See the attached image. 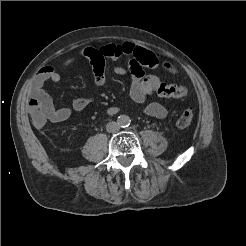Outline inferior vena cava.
Here are the masks:
<instances>
[{
	"mask_svg": "<svg viewBox=\"0 0 246 246\" xmlns=\"http://www.w3.org/2000/svg\"><path fill=\"white\" fill-rule=\"evenodd\" d=\"M119 129H120V126L116 122H109L106 125V130L107 132H110V133L117 132Z\"/></svg>",
	"mask_w": 246,
	"mask_h": 246,
	"instance_id": "1",
	"label": "inferior vena cava"
}]
</instances>
